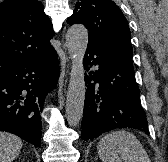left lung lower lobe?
<instances>
[{
    "mask_svg": "<svg viewBox=\"0 0 168 162\" xmlns=\"http://www.w3.org/2000/svg\"><path fill=\"white\" fill-rule=\"evenodd\" d=\"M83 64L87 71L92 66H96L97 70L85 75L87 90L82 139L92 140L120 128L149 134L133 65L90 42Z\"/></svg>",
    "mask_w": 168,
    "mask_h": 162,
    "instance_id": "0a47b994",
    "label": "left lung lower lobe"
}]
</instances>
